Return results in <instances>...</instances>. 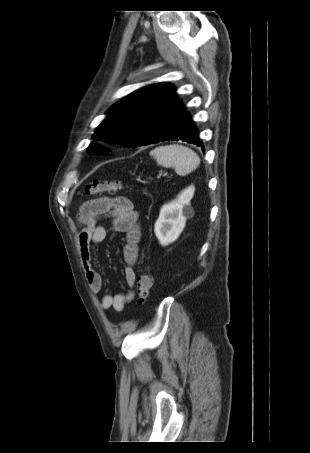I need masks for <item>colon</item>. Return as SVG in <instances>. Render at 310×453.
<instances>
[{
  "label": "colon",
  "instance_id": "1",
  "mask_svg": "<svg viewBox=\"0 0 310 453\" xmlns=\"http://www.w3.org/2000/svg\"><path fill=\"white\" fill-rule=\"evenodd\" d=\"M124 184L121 181H92L84 190L86 196H95L103 194H115L122 190ZM152 276L147 269L141 271L137 278V302L144 304L149 297L152 288Z\"/></svg>",
  "mask_w": 310,
  "mask_h": 453
}]
</instances>
